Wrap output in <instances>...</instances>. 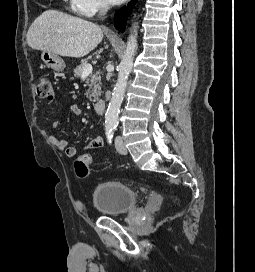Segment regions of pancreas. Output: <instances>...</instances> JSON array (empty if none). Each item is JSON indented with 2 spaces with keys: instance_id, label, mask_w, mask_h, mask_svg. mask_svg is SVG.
<instances>
[{
  "instance_id": "cf45deb5",
  "label": "pancreas",
  "mask_w": 255,
  "mask_h": 272,
  "mask_svg": "<svg viewBox=\"0 0 255 272\" xmlns=\"http://www.w3.org/2000/svg\"><path fill=\"white\" fill-rule=\"evenodd\" d=\"M87 62H83L74 69V76L76 78L82 77V72ZM85 86L88 85V90L86 96L90 101H97L98 97L101 95V76L99 72L90 74L85 82Z\"/></svg>"
}]
</instances>
